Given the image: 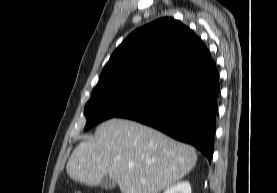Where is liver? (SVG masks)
I'll use <instances>...</instances> for the list:
<instances>
[{"mask_svg": "<svg viewBox=\"0 0 277 193\" xmlns=\"http://www.w3.org/2000/svg\"><path fill=\"white\" fill-rule=\"evenodd\" d=\"M196 162L193 147L140 123L113 118L97 127L93 140L74 149L66 170L71 179L91 186L109 176L122 193H159Z\"/></svg>", "mask_w": 277, "mask_h": 193, "instance_id": "liver-1", "label": "liver"}]
</instances>
